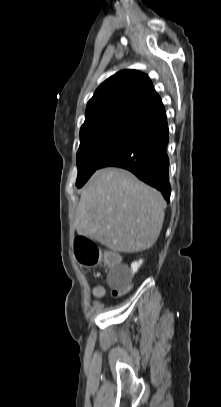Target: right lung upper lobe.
<instances>
[{
    "instance_id": "1",
    "label": "right lung upper lobe",
    "mask_w": 221,
    "mask_h": 407,
    "mask_svg": "<svg viewBox=\"0 0 221 407\" xmlns=\"http://www.w3.org/2000/svg\"><path fill=\"white\" fill-rule=\"evenodd\" d=\"M164 109L149 77L123 70L103 82L89 100L80 137L109 126L141 125Z\"/></svg>"
}]
</instances>
